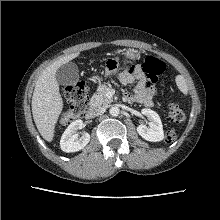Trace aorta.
Wrapping results in <instances>:
<instances>
[{"mask_svg":"<svg viewBox=\"0 0 220 220\" xmlns=\"http://www.w3.org/2000/svg\"><path fill=\"white\" fill-rule=\"evenodd\" d=\"M110 115L112 116H118L120 113V109L117 106H112L109 110Z\"/></svg>","mask_w":220,"mask_h":220,"instance_id":"1","label":"aorta"}]
</instances>
